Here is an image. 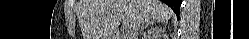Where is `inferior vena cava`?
I'll use <instances>...</instances> for the list:
<instances>
[{
  "label": "inferior vena cava",
  "instance_id": "obj_1",
  "mask_svg": "<svg viewBox=\"0 0 249 39\" xmlns=\"http://www.w3.org/2000/svg\"><path fill=\"white\" fill-rule=\"evenodd\" d=\"M142 23H143L142 19L141 18H137V20L133 24V31H134V33L131 32V36H130L131 38L130 39H135V37L137 36V32H138V30H139V28H140V26H141Z\"/></svg>",
  "mask_w": 249,
  "mask_h": 39
}]
</instances>
